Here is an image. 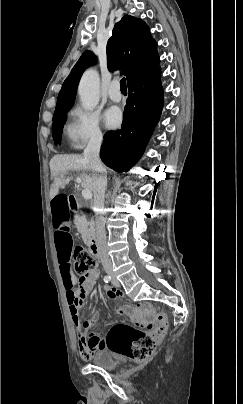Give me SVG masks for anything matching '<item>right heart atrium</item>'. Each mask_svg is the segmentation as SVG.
Listing matches in <instances>:
<instances>
[{
    "label": "right heart atrium",
    "instance_id": "1",
    "mask_svg": "<svg viewBox=\"0 0 243 404\" xmlns=\"http://www.w3.org/2000/svg\"><path fill=\"white\" fill-rule=\"evenodd\" d=\"M65 136L69 148L73 151L101 144L103 133L98 113L94 110H86L79 105L73 106L68 112Z\"/></svg>",
    "mask_w": 243,
    "mask_h": 404
}]
</instances>
